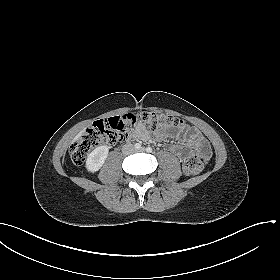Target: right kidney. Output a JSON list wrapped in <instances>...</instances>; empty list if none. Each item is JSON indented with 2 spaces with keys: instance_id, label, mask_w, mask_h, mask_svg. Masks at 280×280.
I'll list each match as a JSON object with an SVG mask.
<instances>
[{
  "instance_id": "right-kidney-1",
  "label": "right kidney",
  "mask_w": 280,
  "mask_h": 280,
  "mask_svg": "<svg viewBox=\"0 0 280 280\" xmlns=\"http://www.w3.org/2000/svg\"><path fill=\"white\" fill-rule=\"evenodd\" d=\"M109 149L107 146H99L94 149L87 157L86 160V169L88 172L95 173L97 172L104 164Z\"/></svg>"
}]
</instances>
